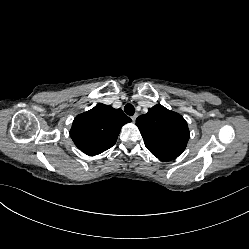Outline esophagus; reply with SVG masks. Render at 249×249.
<instances>
[{"label": "esophagus", "mask_w": 249, "mask_h": 249, "mask_svg": "<svg viewBox=\"0 0 249 249\" xmlns=\"http://www.w3.org/2000/svg\"><path fill=\"white\" fill-rule=\"evenodd\" d=\"M136 118H137V114H135V115H133V116L131 117V119H132L133 122H135Z\"/></svg>", "instance_id": "obj_1"}]
</instances>
